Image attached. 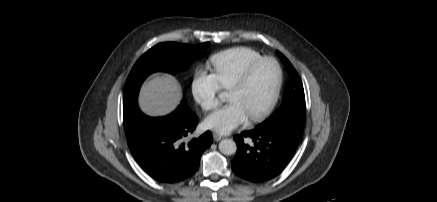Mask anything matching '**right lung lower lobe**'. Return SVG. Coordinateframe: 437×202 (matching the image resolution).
Listing matches in <instances>:
<instances>
[{
    "label": "right lung lower lobe",
    "instance_id": "98d812e1",
    "mask_svg": "<svg viewBox=\"0 0 437 202\" xmlns=\"http://www.w3.org/2000/svg\"><path fill=\"white\" fill-rule=\"evenodd\" d=\"M197 123L189 107H178L164 117L141 113L128 131L129 149L153 179L162 183L187 180L197 172L202 153L213 142L209 131L188 141Z\"/></svg>",
    "mask_w": 437,
    "mask_h": 202
}]
</instances>
